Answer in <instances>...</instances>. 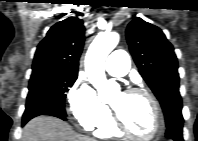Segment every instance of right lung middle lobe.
Listing matches in <instances>:
<instances>
[{"label":"right lung middle lobe","instance_id":"1","mask_svg":"<svg viewBox=\"0 0 198 141\" xmlns=\"http://www.w3.org/2000/svg\"><path fill=\"white\" fill-rule=\"evenodd\" d=\"M77 79V73L40 72L32 73L29 93L23 118H27L29 108L42 107L65 113V97ZM66 114V113H65Z\"/></svg>","mask_w":198,"mask_h":141}]
</instances>
